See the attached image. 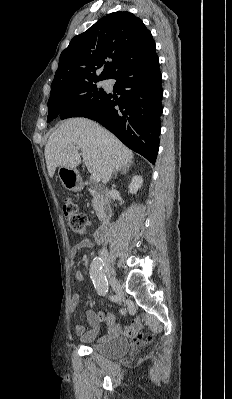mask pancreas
Wrapping results in <instances>:
<instances>
[{"label": "pancreas", "mask_w": 232, "mask_h": 399, "mask_svg": "<svg viewBox=\"0 0 232 399\" xmlns=\"http://www.w3.org/2000/svg\"><path fill=\"white\" fill-rule=\"evenodd\" d=\"M92 198V205L102 221H107L109 215H111V209L109 207V201L106 194H97L94 190H89Z\"/></svg>", "instance_id": "1"}]
</instances>
